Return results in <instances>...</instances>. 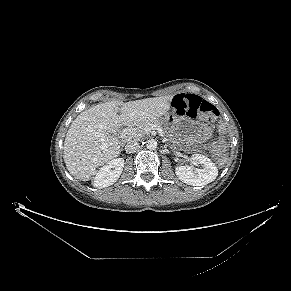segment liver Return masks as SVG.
Listing matches in <instances>:
<instances>
[{
    "instance_id": "6515ba94",
    "label": "liver",
    "mask_w": 291,
    "mask_h": 291,
    "mask_svg": "<svg viewBox=\"0 0 291 291\" xmlns=\"http://www.w3.org/2000/svg\"><path fill=\"white\" fill-rule=\"evenodd\" d=\"M172 98L173 95H167L126 103L113 100L81 112L64 141L63 159L69 173L79 180H89L99 166L121 151L119 140L111 133L121 126L160 118L170 109Z\"/></svg>"
}]
</instances>
